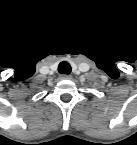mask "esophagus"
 Returning a JSON list of instances; mask_svg holds the SVG:
<instances>
[{
    "instance_id": "34e87169",
    "label": "esophagus",
    "mask_w": 137,
    "mask_h": 145,
    "mask_svg": "<svg viewBox=\"0 0 137 145\" xmlns=\"http://www.w3.org/2000/svg\"><path fill=\"white\" fill-rule=\"evenodd\" d=\"M60 78L63 79V80H69L72 77L70 75H67V74H62V75H60Z\"/></svg>"
}]
</instances>
